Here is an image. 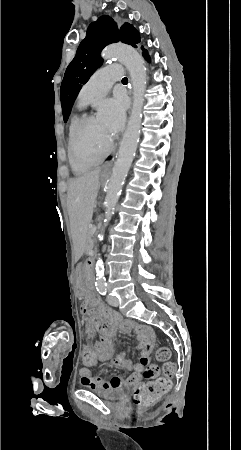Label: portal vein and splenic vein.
Segmentation results:
<instances>
[{
	"instance_id": "18ae733b",
	"label": "portal vein and splenic vein",
	"mask_w": 241,
	"mask_h": 450,
	"mask_svg": "<svg viewBox=\"0 0 241 450\" xmlns=\"http://www.w3.org/2000/svg\"><path fill=\"white\" fill-rule=\"evenodd\" d=\"M95 231H97V226H92V231L90 233L95 234Z\"/></svg>"
}]
</instances>
